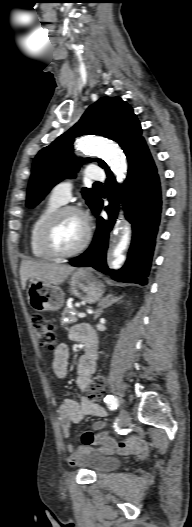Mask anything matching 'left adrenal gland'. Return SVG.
I'll list each match as a JSON object with an SVG mask.
<instances>
[{
    "instance_id": "obj_1",
    "label": "left adrenal gland",
    "mask_w": 192,
    "mask_h": 527,
    "mask_svg": "<svg viewBox=\"0 0 192 527\" xmlns=\"http://www.w3.org/2000/svg\"><path fill=\"white\" fill-rule=\"evenodd\" d=\"M121 299L122 297H115L114 295H107L106 297L102 298L98 304L99 309L95 312L94 319H97L105 308L117 303Z\"/></svg>"
}]
</instances>
